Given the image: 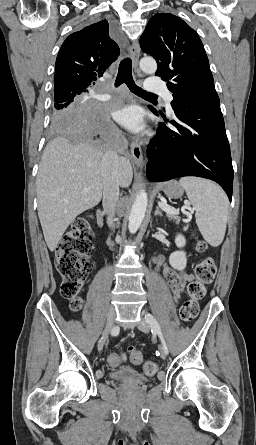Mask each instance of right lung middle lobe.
<instances>
[{"label":"right lung middle lobe","mask_w":256,"mask_h":445,"mask_svg":"<svg viewBox=\"0 0 256 445\" xmlns=\"http://www.w3.org/2000/svg\"><path fill=\"white\" fill-rule=\"evenodd\" d=\"M85 101L86 93L69 92L65 95H54V106L52 113V131L66 132L68 137L75 139L71 130L72 117L75 110Z\"/></svg>","instance_id":"right-lung-middle-lobe-1"}]
</instances>
